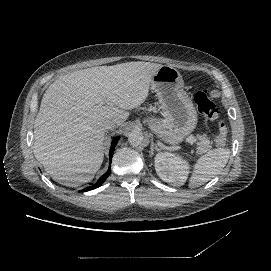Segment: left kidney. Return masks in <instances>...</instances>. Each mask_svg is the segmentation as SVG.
Segmentation results:
<instances>
[{
	"instance_id": "left-kidney-1",
	"label": "left kidney",
	"mask_w": 271,
	"mask_h": 271,
	"mask_svg": "<svg viewBox=\"0 0 271 271\" xmlns=\"http://www.w3.org/2000/svg\"><path fill=\"white\" fill-rule=\"evenodd\" d=\"M155 169L163 181L175 186L183 185L189 173L188 164L168 152L155 156Z\"/></svg>"
}]
</instances>
